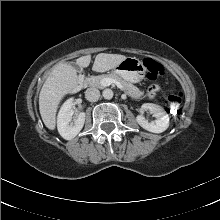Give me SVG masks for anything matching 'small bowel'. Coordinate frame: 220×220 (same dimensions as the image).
<instances>
[{
    "label": "small bowel",
    "instance_id": "small-bowel-1",
    "mask_svg": "<svg viewBox=\"0 0 220 220\" xmlns=\"http://www.w3.org/2000/svg\"><path fill=\"white\" fill-rule=\"evenodd\" d=\"M158 92H159V87H158V85H156V84H151V85H149V87H148L147 90H146V95H147V97H149V98H154V97L157 96Z\"/></svg>",
    "mask_w": 220,
    "mask_h": 220
}]
</instances>
